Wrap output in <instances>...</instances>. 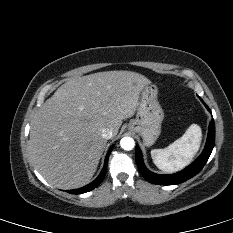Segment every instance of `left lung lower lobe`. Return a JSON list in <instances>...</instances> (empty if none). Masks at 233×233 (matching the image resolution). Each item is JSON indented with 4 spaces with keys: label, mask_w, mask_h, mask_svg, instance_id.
<instances>
[{
    "label": "left lung lower lobe",
    "mask_w": 233,
    "mask_h": 233,
    "mask_svg": "<svg viewBox=\"0 0 233 233\" xmlns=\"http://www.w3.org/2000/svg\"><path fill=\"white\" fill-rule=\"evenodd\" d=\"M203 104L206 106V108H208V106L204 102ZM208 110L211 112L209 108ZM214 142H215V123L212 120L209 125L208 137H207V142H206L204 151L190 166H188L184 170L176 174H173V175H159V174L152 173L145 167L143 159H142V153L138 147H136L137 166L142 176L150 183L158 184V185L180 184L192 178L193 176H195L201 171V169L206 164L213 150Z\"/></svg>",
    "instance_id": "0a47b994"
}]
</instances>
